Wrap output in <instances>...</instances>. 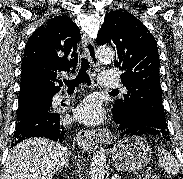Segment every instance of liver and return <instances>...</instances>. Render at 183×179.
<instances>
[{"mask_svg":"<svg viewBox=\"0 0 183 179\" xmlns=\"http://www.w3.org/2000/svg\"><path fill=\"white\" fill-rule=\"evenodd\" d=\"M68 162L66 148L44 138L26 139L13 147L3 179H52Z\"/></svg>","mask_w":183,"mask_h":179,"instance_id":"liver-1","label":"liver"}]
</instances>
